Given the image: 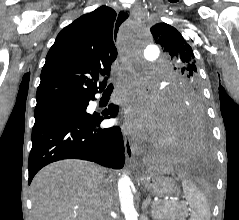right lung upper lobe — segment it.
<instances>
[{
  "mask_svg": "<svg viewBox=\"0 0 239 220\" xmlns=\"http://www.w3.org/2000/svg\"><path fill=\"white\" fill-rule=\"evenodd\" d=\"M116 13L101 6L60 31L41 71L36 108L77 103L102 91L117 57L113 24Z\"/></svg>",
  "mask_w": 239,
  "mask_h": 220,
  "instance_id": "obj_1",
  "label": "right lung upper lobe"
}]
</instances>
